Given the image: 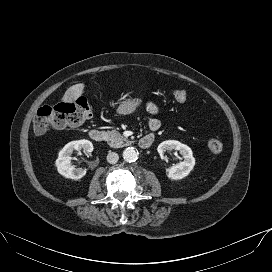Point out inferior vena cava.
Segmentation results:
<instances>
[{
	"mask_svg": "<svg viewBox=\"0 0 272 272\" xmlns=\"http://www.w3.org/2000/svg\"><path fill=\"white\" fill-rule=\"evenodd\" d=\"M118 159H119V156L117 153L109 151V153L107 155V161L109 163L115 164V163H117Z\"/></svg>",
	"mask_w": 272,
	"mask_h": 272,
	"instance_id": "602c4592",
	"label": "inferior vena cava"
}]
</instances>
